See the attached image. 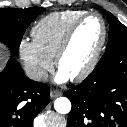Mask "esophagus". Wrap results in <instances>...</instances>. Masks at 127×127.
Wrapping results in <instances>:
<instances>
[{
	"mask_svg": "<svg viewBox=\"0 0 127 127\" xmlns=\"http://www.w3.org/2000/svg\"><path fill=\"white\" fill-rule=\"evenodd\" d=\"M61 94H62V93H61L59 90H52V91L50 92V97H51V99H54V98L60 96Z\"/></svg>",
	"mask_w": 127,
	"mask_h": 127,
	"instance_id": "obj_1",
	"label": "esophagus"
}]
</instances>
